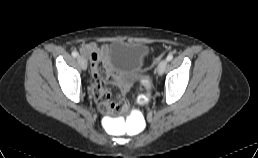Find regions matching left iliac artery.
<instances>
[{
  "instance_id": "1",
  "label": "left iliac artery",
  "mask_w": 258,
  "mask_h": 158,
  "mask_svg": "<svg viewBox=\"0 0 258 158\" xmlns=\"http://www.w3.org/2000/svg\"><path fill=\"white\" fill-rule=\"evenodd\" d=\"M173 59V54L172 53H169L166 60L167 61H171Z\"/></svg>"
}]
</instances>
